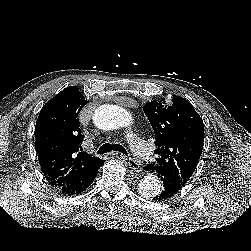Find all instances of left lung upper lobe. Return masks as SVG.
<instances>
[{
	"mask_svg": "<svg viewBox=\"0 0 251 251\" xmlns=\"http://www.w3.org/2000/svg\"><path fill=\"white\" fill-rule=\"evenodd\" d=\"M143 110L154 133L158 154L152 164L167 171L183 186L196 169L203 150V121L193 106L180 96H173L170 106L165 100L147 102Z\"/></svg>",
	"mask_w": 251,
	"mask_h": 251,
	"instance_id": "left-lung-upper-lobe-1",
	"label": "left lung upper lobe"
}]
</instances>
